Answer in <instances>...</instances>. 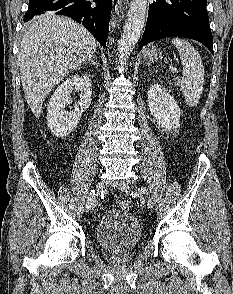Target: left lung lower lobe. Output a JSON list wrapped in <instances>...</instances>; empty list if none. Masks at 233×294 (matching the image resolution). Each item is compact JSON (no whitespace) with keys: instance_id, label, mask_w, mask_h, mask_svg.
Wrapping results in <instances>:
<instances>
[{"instance_id":"obj_1","label":"left lung lower lobe","mask_w":233,"mask_h":294,"mask_svg":"<svg viewBox=\"0 0 233 294\" xmlns=\"http://www.w3.org/2000/svg\"><path fill=\"white\" fill-rule=\"evenodd\" d=\"M171 36L197 40L213 54L206 0H155L149 5L147 24L139 47Z\"/></svg>"}]
</instances>
